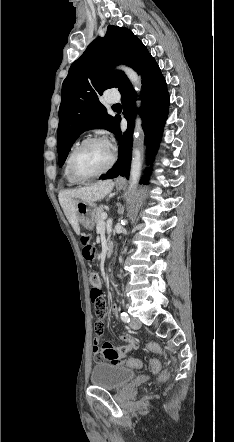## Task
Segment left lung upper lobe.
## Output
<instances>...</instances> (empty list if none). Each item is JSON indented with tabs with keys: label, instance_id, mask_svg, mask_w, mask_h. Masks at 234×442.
<instances>
[{
	"label": "left lung upper lobe",
	"instance_id": "5c2ea615",
	"mask_svg": "<svg viewBox=\"0 0 234 442\" xmlns=\"http://www.w3.org/2000/svg\"><path fill=\"white\" fill-rule=\"evenodd\" d=\"M150 56L143 43L127 28L109 25L105 37H98L70 67L62 84L59 109L57 150L59 166L80 136L89 128H106L118 133V118L106 112L98 95L109 88L130 84L122 71H112L118 64H126L140 74Z\"/></svg>",
	"mask_w": 234,
	"mask_h": 442
}]
</instances>
